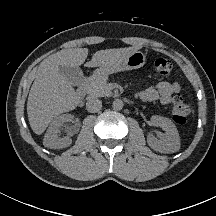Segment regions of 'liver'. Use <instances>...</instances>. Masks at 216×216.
Instances as JSON below:
<instances>
[{
  "label": "liver",
  "instance_id": "1",
  "mask_svg": "<svg viewBox=\"0 0 216 216\" xmlns=\"http://www.w3.org/2000/svg\"><path fill=\"white\" fill-rule=\"evenodd\" d=\"M138 49L139 47H128L100 50L86 66L113 65ZM87 56V48H74L61 50L43 61L27 101L28 120L35 134H42L61 113L76 108L78 96L73 85L59 73V67H79Z\"/></svg>",
  "mask_w": 216,
  "mask_h": 216
}]
</instances>
